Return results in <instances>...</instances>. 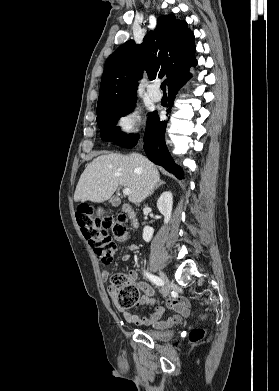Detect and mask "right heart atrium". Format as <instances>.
I'll list each match as a JSON object with an SVG mask.
<instances>
[{
  "label": "right heart atrium",
  "mask_w": 279,
  "mask_h": 391,
  "mask_svg": "<svg viewBox=\"0 0 279 391\" xmlns=\"http://www.w3.org/2000/svg\"><path fill=\"white\" fill-rule=\"evenodd\" d=\"M141 116L137 109H128L116 119V129L121 136L135 134L140 126Z\"/></svg>",
  "instance_id": "1"
}]
</instances>
